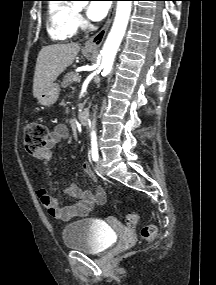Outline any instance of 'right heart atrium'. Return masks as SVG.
Returning <instances> with one entry per match:
<instances>
[{
  "label": "right heart atrium",
  "mask_w": 216,
  "mask_h": 285,
  "mask_svg": "<svg viewBox=\"0 0 216 285\" xmlns=\"http://www.w3.org/2000/svg\"><path fill=\"white\" fill-rule=\"evenodd\" d=\"M76 20H77V24L78 25H83L84 24V20H83L81 15L77 14Z\"/></svg>",
  "instance_id": "d8ad5b80"
}]
</instances>
